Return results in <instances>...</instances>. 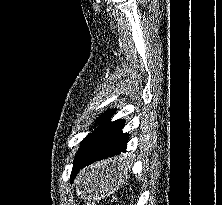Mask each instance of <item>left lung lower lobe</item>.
Masks as SVG:
<instances>
[{"instance_id":"obj_1","label":"left lung lower lobe","mask_w":222,"mask_h":205,"mask_svg":"<svg viewBox=\"0 0 222 205\" xmlns=\"http://www.w3.org/2000/svg\"><path fill=\"white\" fill-rule=\"evenodd\" d=\"M114 113L115 110L111 112L103 124L100 134L87 155L78 162L74 161L71 180L76 177L81 169L97 161L110 158V163L117 164L116 157L126 151L129 136L122 132L125 121L116 120L111 122V116Z\"/></svg>"}]
</instances>
